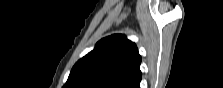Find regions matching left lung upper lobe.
<instances>
[{"instance_id":"5c2ea615","label":"left lung upper lobe","mask_w":223,"mask_h":88,"mask_svg":"<svg viewBox=\"0 0 223 88\" xmlns=\"http://www.w3.org/2000/svg\"><path fill=\"white\" fill-rule=\"evenodd\" d=\"M141 56L124 35L101 39L72 68L63 88H140Z\"/></svg>"}]
</instances>
